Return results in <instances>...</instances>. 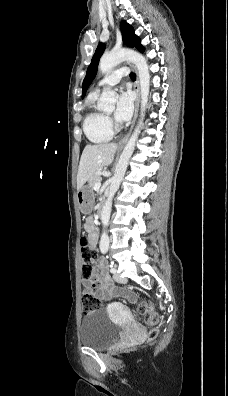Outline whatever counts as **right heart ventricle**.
Returning a JSON list of instances; mask_svg holds the SVG:
<instances>
[{
	"label": "right heart ventricle",
	"mask_w": 228,
	"mask_h": 396,
	"mask_svg": "<svg viewBox=\"0 0 228 396\" xmlns=\"http://www.w3.org/2000/svg\"><path fill=\"white\" fill-rule=\"evenodd\" d=\"M97 93H91L87 98L88 113L83 121V131L88 140L95 144H102L113 138V130L106 115L96 105Z\"/></svg>",
	"instance_id": "e07e8e85"
}]
</instances>
